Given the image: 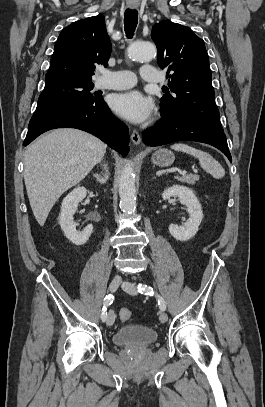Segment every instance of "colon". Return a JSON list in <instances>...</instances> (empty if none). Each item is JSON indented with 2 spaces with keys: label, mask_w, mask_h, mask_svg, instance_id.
I'll use <instances>...</instances> for the list:
<instances>
[{
  "label": "colon",
  "mask_w": 265,
  "mask_h": 407,
  "mask_svg": "<svg viewBox=\"0 0 265 407\" xmlns=\"http://www.w3.org/2000/svg\"><path fill=\"white\" fill-rule=\"evenodd\" d=\"M119 316L122 322H127L132 319V312L128 309H122L119 313Z\"/></svg>",
  "instance_id": "1"
}]
</instances>
